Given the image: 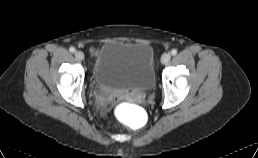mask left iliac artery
I'll return each instance as SVG.
<instances>
[{"label": "left iliac artery", "mask_w": 258, "mask_h": 158, "mask_svg": "<svg viewBox=\"0 0 258 158\" xmlns=\"http://www.w3.org/2000/svg\"><path fill=\"white\" fill-rule=\"evenodd\" d=\"M171 54H172L173 56L176 55V54H177V50H176V49H172Z\"/></svg>", "instance_id": "obj_1"}]
</instances>
